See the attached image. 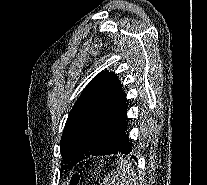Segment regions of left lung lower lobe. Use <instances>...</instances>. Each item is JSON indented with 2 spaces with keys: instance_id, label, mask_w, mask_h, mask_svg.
<instances>
[{
  "instance_id": "left-lung-lower-lobe-1",
  "label": "left lung lower lobe",
  "mask_w": 207,
  "mask_h": 185,
  "mask_svg": "<svg viewBox=\"0 0 207 185\" xmlns=\"http://www.w3.org/2000/svg\"><path fill=\"white\" fill-rule=\"evenodd\" d=\"M127 128V115L117 127L115 132L113 133L111 139L107 143V146L101 153L90 154L93 156L96 155H109V154H118L125 153L128 154L131 152V143L128 138V134L126 133ZM89 155L84 156L80 161L87 158Z\"/></svg>"
}]
</instances>
